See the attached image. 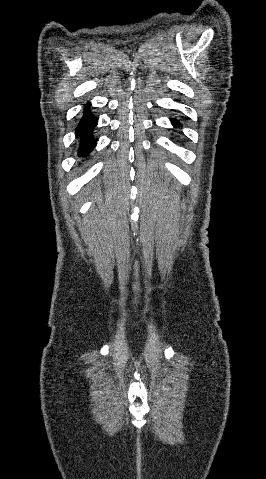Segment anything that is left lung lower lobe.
<instances>
[{"label":"left lung lower lobe","mask_w":266,"mask_h":479,"mask_svg":"<svg viewBox=\"0 0 266 479\" xmlns=\"http://www.w3.org/2000/svg\"><path fill=\"white\" fill-rule=\"evenodd\" d=\"M172 124H173L175 127H177V125L180 126V123H179L178 121H176V120H172Z\"/></svg>","instance_id":"0a47b994"}]
</instances>
